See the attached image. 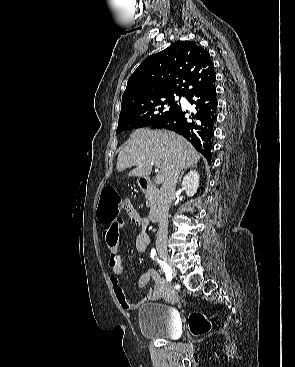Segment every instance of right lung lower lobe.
Here are the masks:
<instances>
[{"instance_id":"1","label":"right lung lower lobe","mask_w":295,"mask_h":367,"mask_svg":"<svg viewBox=\"0 0 295 367\" xmlns=\"http://www.w3.org/2000/svg\"><path fill=\"white\" fill-rule=\"evenodd\" d=\"M215 78L205 86L186 95L195 111L186 115L182 107L154 123L152 129H167L184 136L210 163L211 139L217 119V98Z\"/></svg>"}]
</instances>
